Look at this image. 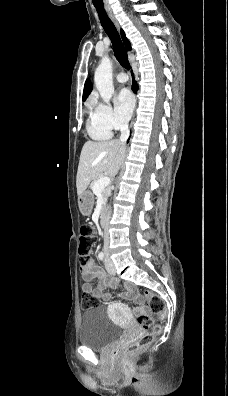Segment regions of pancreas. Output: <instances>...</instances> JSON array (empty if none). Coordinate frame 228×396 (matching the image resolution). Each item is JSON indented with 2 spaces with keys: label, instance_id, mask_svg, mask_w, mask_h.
Instances as JSON below:
<instances>
[{
  "label": "pancreas",
  "instance_id": "1",
  "mask_svg": "<svg viewBox=\"0 0 228 396\" xmlns=\"http://www.w3.org/2000/svg\"><path fill=\"white\" fill-rule=\"evenodd\" d=\"M102 177H103V175H100L97 179H94V180L91 182L90 188H91L92 190H93V187H94L95 183H96L100 178H102ZM102 195H103V198L106 200V199H107V196L109 195V189H104Z\"/></svg>",
  "mask_w": 228,
  "mask_h": 396
}]
</instances>
